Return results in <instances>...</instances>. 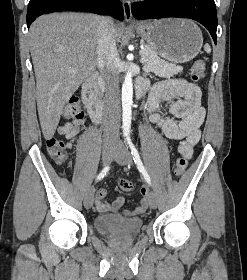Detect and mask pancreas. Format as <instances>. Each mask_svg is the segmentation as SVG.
<instances>
[{
	"mask_svg": "<svg viewBox=\"0 0 247 280\" xmlns=\"http://www.w3.org/2000/svg\"><path fill=\"white\" fill-rule=\"evenodd\" d=\"M141 51L143 57L146 58V61L143 62L145 72H152L159 77L170 78L182 71L181 66H176L159 58L149 45H144Z\"/></svg>",
	"mask_w": 247,
	"mask_h": 280,
	"instance_id": "pancreas-1",
	"label": "pancreas"
}]
</instances>
